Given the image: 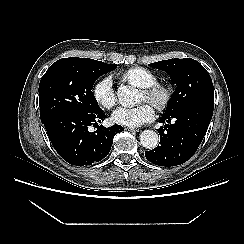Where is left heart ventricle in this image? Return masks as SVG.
Wrapping results in <instances>:
<instances>
[{
    "label": "left heart ventricle",
    "mask_w": 244,
    "mask_h": 244,
    "mask_svg": "<svg viewBox=\"0 0 244 244\" xmlns=\"http://www.w3.org/2000/svg\"><path fill=\"white\" fill-rule=\"evenodd\" d=\"M141 98H142V100H145V96H144L143 93H142V95H141Z\"/></svg>",
    "instance_id": "1"
}]
</instances>
